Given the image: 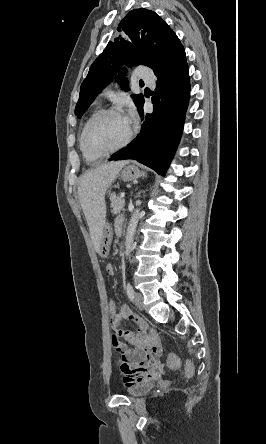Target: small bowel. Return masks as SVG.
Masks as SVG:
<instances>
[{
    "label": "small bowel",
    "mask_w": 266,
    "mask_h": 444,
    "mask_svg": "<svg viewBox=\"0 0 266 444\" xmlns=\"http://www.w3.org/2000/svg\"><path fill=\"white\" fill-rule=\"evenodd\" d=\"M123 219L118 218L115 223V232L121 235ZM108 274L114 275V267H106ZM123 321H130L137 325V330L120 327ZM111 327L114 333L111 344L119 354L120 369L124 375L126 387L142 383H152L164 375V365L159 361L161 343L158 333L149 330L145 321L134 314L128 306L123 305L117 314L111 318ZM125 340L126 343L121 340ZM131 345L132 347H129Z\"/></svg>",
    "instance_id": "1"
}]
</instances>
